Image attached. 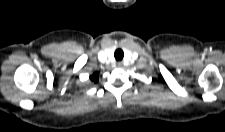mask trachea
I'll use <instances>...</instances> for the list:
<instances>
[{
  "label": "trachea",
  "mask_w": 225,
  "mask_h": 132,
  "mask_svg": "<svg viewBox=\"0 0 225 132\" xmlns=\"http://www.w3.org/2000/svg\"><path fill=\"white\" fill-rule=\"evenodd\" d=\"M114 56L117 61H120L123 59L124 53L121 49H117L114 53Z\"/></svg>",
  "instance_id": "1"
}]
</instances>
